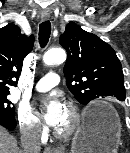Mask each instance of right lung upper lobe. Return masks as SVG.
I'll use <instances>...</instances> for the list:
<instances>
[{
    "mask_svg": "<svg viewBox=\"0 0 130 153\" xmlns=\"http://www.w3.org/2000/svg\"><path fill=\"white\" fill-rule=\"evenodd\" d=\"M34 36L22 35L20 28L9 24L0 29V92H9L16 85L22 70L23 60L32 50Z\"/></svg>",
    "mask_w": 130,
    "mask_h": 153,
    "instance_id": "cb5924a9",
    "label": "right lung upper lobe"
}]
</instances>
